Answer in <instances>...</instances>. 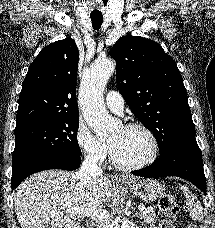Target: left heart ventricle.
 Returning a JSON list of instances; mask_svg holds the SVG:
<instances>
[{"label": "left heart ventricle", "mask_w": 215, "mask_h": 228, "mask_svg": "<svg viewBox=\"0 0 215 228\" xmlns=\"http://www.w3.org/2000/svg\"><path fill=\"white\" fill-rule=\"evenodd\" d=\"M108 144L116 160L122 164H135L142 161L150 149L148 137L140 129L121 127L112 134Z\"/></svg>", "instance_id": "1"}]
</instances>
